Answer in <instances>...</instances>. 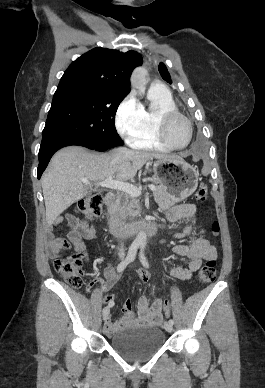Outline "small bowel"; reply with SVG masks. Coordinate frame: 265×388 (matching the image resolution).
<instances>
[{
  "mask_svg": "<svg viewBox=\"0 0 265 388\" xmlns=\"http://www.w3.org/2000/svg\"><path fill=\"white\" fill-rule=\"evenodd\" d=\"M196 205L192 203L180 204L167 211V219L170 222L187 221L183 229L175 234V237L181 239L190 235L194 230L196 231V238L190 245L177 244L173 251L175 254L189 259L186 267H175L171 271V275L181 281H188L192 278L194 272L198 271L204 260L216 259V248L210 244L205 237V227L199 223L195 229L192 219L196 214ZM65 221L69 228L67 238H51L49 241L50 255H56L60 250L74 247L77 252L83 254V259L89 262V257L86 253L85 245L82 239H93L96 236L94 229L90 228L81 218L67 214L64 218H59L55 225ZM120 275L111 263H108L104 269V280L100 281L101 289L107 293L105 299L108 304L114 305L115 296L108 293L112 287L118 282ZM139 278L142 283H147L149 277L145 273H139ZM95 282L88 284L86 290L91 292ZM139 313L136 315L132 309V303L126 301L123 304V315L118 321H111L108 318L105 321L104 332L107 335L113 334L119 330L130 326H144V325H159L162 323L163 305L162 299H156L152 304L145 296H141L138 300Z\"/></svg>",
  "mask_w": 265,
  "mask_h": 388,
  "instance_id": "c3829d8e",
  "label": "small bowel"
}]
</instances>
